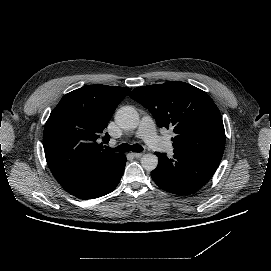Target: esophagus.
I'll list each match as a JSON object with an SVG mask.
<instances>
[{"label":"esophagus","instance_id":"obj_1","mask_svg":"<svg viewBox=\"0 0 271 271\" xmlns=\"http://www.w3.org/2000/svg\"><path fill=\"white\" fill-rule=\"evenodd\" d=\"M144 153H133V156L135 158H141L143 156Z\"/></svg>","mask_w":271,"mask_h":271}]
</instances>
